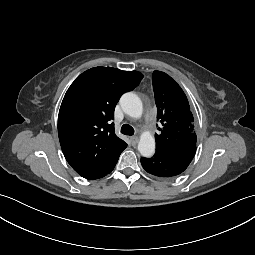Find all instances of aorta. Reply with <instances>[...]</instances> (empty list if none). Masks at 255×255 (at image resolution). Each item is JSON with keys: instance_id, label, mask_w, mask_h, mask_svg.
Returning a JSON list of instances; mask_svg holds the SVG:
<instances>
[{"instance_id": "aorta-1", "label": "aorta", "mask_w": 255, "mask_h": 255, "mask_svg": "<svg viewBox=\"0 0 255 255\" xmlns=\"http://www.w3.org/2000/svg\"><path fill=\"white\" fill-rule=\"evenodd\" d=\"M120 105L123 111L133 118H139L143 113L142 102L133 92L123 94L120 98ZM138 150L144 157H151L155 153V139L149 132L141 134Z\"/></svg>"}]
</instances>
